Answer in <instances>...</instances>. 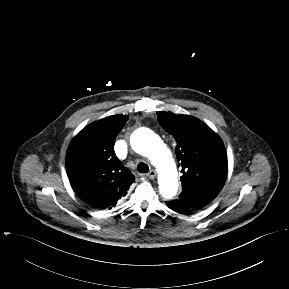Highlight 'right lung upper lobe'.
I'll use <instances>...</instances> for the list:
<instances>
[{"label":"right lung upper lobe","instance_id":"right-lung-upper-lobe-1","mask_svg":"<svg viewBox=\"0 0 289 289\" xmlns=\"http://www.w3.org/2000/svg\"><path fill=\"white\" fill-rule=\"evenodd\" d=\"M127 120L124 115L98 120L81 130L67 150L66 169L73 190L102 209L115 206L135 180L114 152L115 138Z\"/></svg>","mask_w":289,"mask_h":289}]
</instances>
